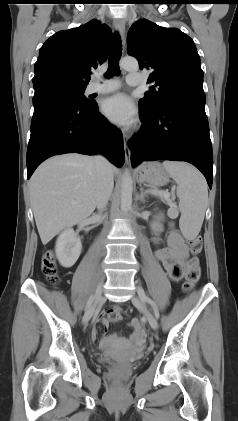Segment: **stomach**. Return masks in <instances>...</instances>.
Masks as SVG:
<instances>
[{
  "mask_svg": "<svg viewBox=\"0 0 238 421\" xmlns=\"http://www.w3.org/2000/svg\"><path fill=\"white\" fill-rule=\"evenodd\" d=\"M137 176L140 181L156 187L164 186L169 182V175L159 162L145 164L138 171Z\"/></svg>",
  "mask_w": 238,
  "mask_h": 421,
  "instance_id": "obj_1",
  "label": "stomach"
}]
</instances>
